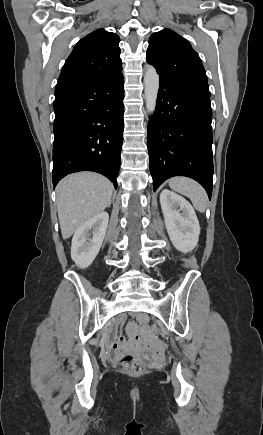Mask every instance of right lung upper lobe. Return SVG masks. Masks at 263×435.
Returning <instances> with one entry per match:
<instances>
[{"instance_id": "right-lung-upper-lobe-1", "label": "right lung upper lobe", "mask_w": 263, "mask_h": 435, "mask_svg": "<svg viewBox=\"0 0 263 435\" xmlns=\"http://www.w3.org/2000/svg\"><path fill=\"white\" fill-rule=\"evenodd\" d=\"M117 34L97 29L81 39L66 60L56 91L88 84L122 69Z\"/></svg>"}]
</instances>
